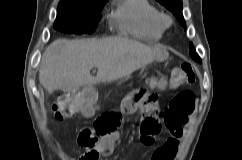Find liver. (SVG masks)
<instances>
[{"label": "liver", "mask_w": 242, "mask_h": 160, "mask_svg": "<svg viewBox=\"0 0 242 160\" xmlns=\"http://www.w3.org/2000/svg\"><path fill=\"white\" fill-rule=\"evenodd\" d=\"M169 53L123 37L105 39H57L45 50L39 81L46 91L70 92L81 86L111 82L130 75L153 61H165ZM98 69L96 77L90 74Z\"/></svg>", "instance_id": "obj_1"}]
</instances>
